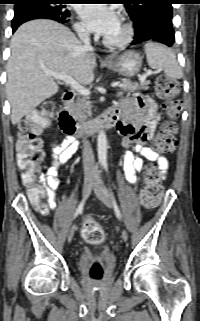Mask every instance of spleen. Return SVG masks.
Returning <instances> with one entry per match:
<instances>
[{
	"instance_id": "3e777b00",
	"label": "spleen",
	"mask_w": 200,
	"mask_h": 321,
	"mask_svg": "<svg viewBox=\"0 0 200 321\" xmlns=\"http://www.w3.org/2000/svg\"><path fill=\"white\" fill-rule=\"evenodd\" d=\"M147 63L152 69H161L172 79H180L183 75L174 52L159 43L148 42L144 45Z\"/></svg>"
}]
</instances>
